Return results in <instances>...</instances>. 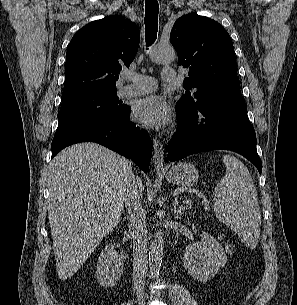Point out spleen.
I'll use <instances>...</instances> for the list:
<instances>
[{
	"label": "spleen",
	"instance_id": "obj_1",
	"mask_svg": "<svg viewBox=\"0 0 297 305\" xmlns=\"http://www.w3.org/2000/svg\"><path fill=\"white\" fill-rule=\"evenodd\" d=\"M223 162L226 174L215 187V214L246 246L254 248L260 236L261 217L253 179L238 158L224 155Z\"/></svg>",
	"mask_w": 297,
	"mask_h": 305
}]
</instances>
